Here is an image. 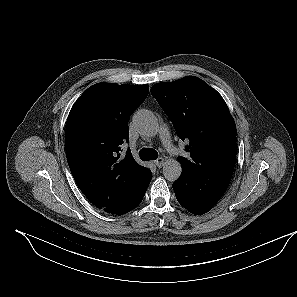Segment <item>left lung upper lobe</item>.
Instances as JSON below:
<instances>
[{
	"label": "left lung upper lobe",
	"mask_w": 297,
	"mask_h": 297,
	"mask_svg": "<svg viewBox=\"0 0 297 297\" xmlns=\"http://www.w3.org/2000/svg\"><path fill=\"white\" fill-rule=\"evenodd\" d=\"M157 100L188 145L182 165L184 206L218 202L225 193L236 159V125L221 95L198 77L152 86Z\"/></svg>",
	"instance_id": "obj_1"
}]
</instances>
